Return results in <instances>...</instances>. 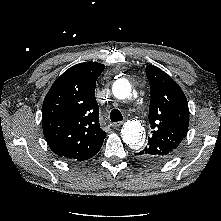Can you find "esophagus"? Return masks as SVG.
Instances as JSON below:
<instances>
[{"label": "esophagus", "mask_w": 221, "mask_h": 221, "mask_svg": "<svg viewBox=\"0 0 221 221\" xmlns=\"http://www.w3.org/2000/svg\"><path fill=\"white\" fill-rule=\"evenodd\" d=\"M122 124H123V122L120 121V122H115V123H113L112 126L115 127V128H118V127H120Z\"/></svg>", "instance_id": "34e87169"}]
</instances>
